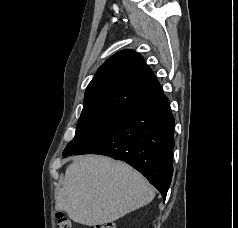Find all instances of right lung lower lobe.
<instances>
[{
	"label": "right lung lower lobe",
	"mask_w": 238,
	"mask_h": 228,
	"mask_svg": "<svg viewBox=\"0 0 238 228\" xmlns=\"http://www.w3.org/2000/svg\"><path fill=\"white\" fill-rule=\"evenodd\" d=\"M174 118L160 95L122 114L74 152L100 154L127 162L142 173L165 201L173 173Z\"/></svg>",
	"instance_id": "1"
}]
</instances>
